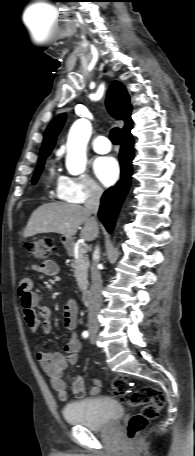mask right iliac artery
Here are the masks:
<instances>
[{"mask_svg":"<svg viewBox=\"0 0 195 456\" xmlns=\"http://www.w3.org/2000/svg\"><path fill=\"white\" fill-rule=\"evenodd\" d=\"M82 336H83V338H87L89 336V332L88 331H84L82 333Z\"/></svg>","mask_w":195,"mask_h":456,"instance_id":"1","label":"right iliac artery"}]
</instances>
